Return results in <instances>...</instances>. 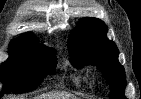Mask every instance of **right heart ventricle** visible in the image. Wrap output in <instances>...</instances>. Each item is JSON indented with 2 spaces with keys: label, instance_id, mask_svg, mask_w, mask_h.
I'll return each mask as SVG.
<instances>
[{
  "label": "right heart ventricle",
  "instance_id": "e07e8e85",
  "mask_svg": "<svg viewBox=\"0 0 141 99\" xmlns=\"http://www.w3.org/2000/svg\"><path fill=\"white\" fill-rule=\"evenodd\" d=\"M85 81V78L84 77H81V76H76L74 77V82L76 84H80L81 82Z\"/></svg>",
  "mask_w": 141,
  "mask_h": 99
}]
</instances>
